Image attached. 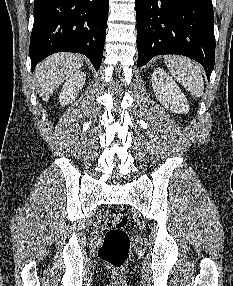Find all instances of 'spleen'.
Segmentation results:
<instances>
[{
	"instance_id": "spleen-1",
	"label": "spleen",
	"mask_w": 233,
	"mask_h": 286,
	"mask_svg": "<svg viewBox=\"0 0 233 286\" xmlns=\"http://www.w3.org/2000/svg\"><path fill=\"white\" fill-rule=\"evenodd\" d=\"M171 75L192 95L200 97L204 92L202 67L188 57L167 55L164 57Z\"/></svg>"
}]
</instances>
